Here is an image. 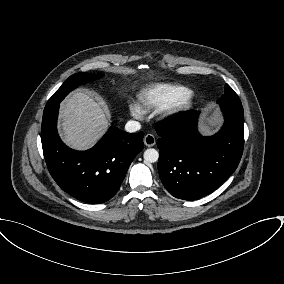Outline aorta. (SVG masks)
Returning a JSON list of instances; mask_svg holds the SVG:
<instances>
[{
    "mask_svg": "<svg viewBox=\"0 0 284 284\" xmlns=\"http://www.w3.org/2000/svg\"><path fill=\"white\" fill-rule=\"evenodd\" d=\"M143 157L146 162L154 163L158 161L159 153L156 149L149 148L144 151Z\"/></svg>",
    "mask_w": 284,
    "mask_h": 284,
    "instance_id": "aorta-1",
    "label": "aorta"
}]
</instances>
